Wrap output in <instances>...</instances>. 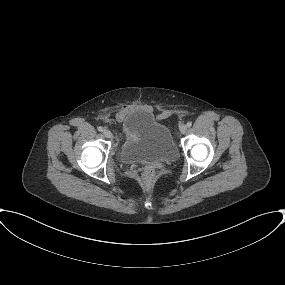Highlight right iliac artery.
<instances>
[{"mask_svg": "<svg viewBox=\"0 0 285 285\" xmlns=\"http://www.w3.org/2000/svg\"><path fill=\"white\" fill-rule=\"evenodd\" d=\"M98 131L102 132L103 131V127L99 126L98 127Z\"/></svg>", "mask_w": 285, "mask_h": 285, "instance_id": "right-iliac-artery-1", "label": "right iliac artery"}]
</instances>
